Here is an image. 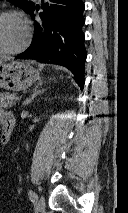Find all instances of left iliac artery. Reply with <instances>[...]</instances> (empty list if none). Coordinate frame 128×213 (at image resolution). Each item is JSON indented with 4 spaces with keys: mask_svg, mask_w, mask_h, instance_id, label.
Wrapping results in <instances>:
<instances>
[{
    "mask_svg": "<svg viewBox=\"0 0 128 213\" xmlns=\"http://www.w3.org/2000/svg\"><path fill=\"white\" fill-rule=\"evenodd\" d=\"M28 196L32 202H35L38 198L37 194L33 190H29Z\"/></svg>",
    "mask_w": 128,
    "mask_h": 213,
    "instance_id": "44dca946",
    "label": "left iliac artery"
}]
</instances>
